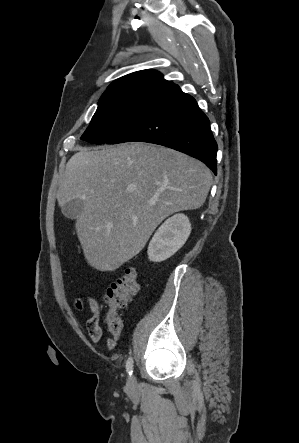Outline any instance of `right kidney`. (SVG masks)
Returning <instances> with one entry per match:
<instances>
[{
	"label": "right kidney",
	"mask_w": 299,
	"mask_h": 443,
	"mask_svg": "<svg viewBox=\"0 0 299 443\" xmlns=\"http://www.w3.org/2000/svg\"><path fill=\"white\" fill-rule=\"evenodd\" d=\"M191 233V224L184 214L168 218L155 232L148 246V258L161 262L174 255Z\"/></svg>",
	"instance_id": "right-kidney-1"
}]
</instances>
